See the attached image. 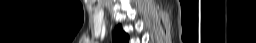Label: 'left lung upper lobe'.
<instances>
[{
    "instance_id": "1",
    "label": "left lung upper lobe",
    "mask_w": 256,
    "mask_h": 43,
    "mask_svg": "<svg viewBox=\"0 0 256 43\" xmlns=\"http://www.w3.org/2000/svg\"><path fill=\"white\" fill-rule=\"evenodd\" d=\"M129 41V36L126 34L123 30L121 25L119 24L113 33V43H128Z\"/></svg>"
}]
</instances>
